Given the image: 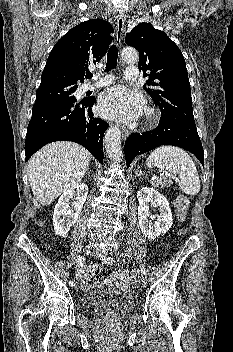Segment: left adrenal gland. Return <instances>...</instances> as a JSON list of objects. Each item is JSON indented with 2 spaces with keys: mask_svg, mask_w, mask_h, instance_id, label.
Wrapping results in <instances>:
<instances>
[{
  "mask_svg": "<svg viewBox=\"0 0 233 352\" xmlns=\"http://www.w3.org/2000/svg\"><path fill=\"white\" fill-rule=\"evenodd\" d=\"M141 175H143L142 171L140 170L138 173H135V177H140Z\"/></svg>",
  "mask_w": 233,
  "mask_h": 352,
  "instance_id": "left-adrenal-gland-1",
  "label": "left adrenal gland"
}]
</instances>
